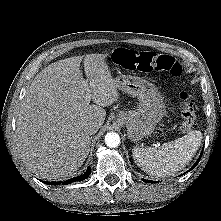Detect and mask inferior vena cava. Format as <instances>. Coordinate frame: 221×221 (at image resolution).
I'll list each match as a JSON object with an SVG mask.
<instances>
[{
	"instance_id": "inferior-vena-cava-1",
	"label": "inferior vena cava",
	"mask_w": 221,
	"mask_h": 221,
	"mask_svg": "<svg viewBox=\"0 0 221 221\" xmlns=\"http://www.w3.org/2000/svg\"><path fill=\"white\" fill-rule=\"evenodd\" d=\"M99 127H100V124L96 121H91L87 124V130L91 135L95 134L97 130L99 129Z\"/></svg>"
}]
</instances>
